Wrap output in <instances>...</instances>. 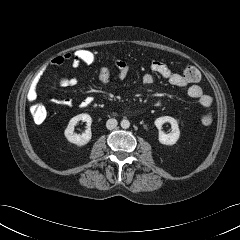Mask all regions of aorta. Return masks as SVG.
I'll use <instances>...</instances> for the list:
<instances>
[{"label": "aorta", "mask_w": 240, "mask_h": 240, "mask_svg": "<svg viewBox=\"0 0 240 240\" xmlns=\"http://www.w3.org/2000/svg\"><path fill=\"white\" fill-rule=\"evenodd\" d=\"M120 124L123 129H127L130 127V122L127 119H123Z\"/></svg>", "instance_id": "obj_1"}]
</instances>
